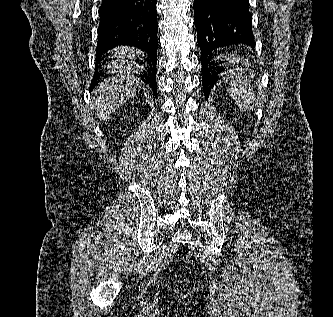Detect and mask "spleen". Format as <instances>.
<instances>
[{"instance_id":"obj_1","label":"spleen","mask_w":333,"mask_h":317,"mask_svg":"<svg viewBox=\"0 0 333 317\" xmlns=\"http://www.w3.org/2000/svg\"><path fill=\"white\" fill-rule=\"evenodd\" d=\"M228 59L237 61L233 56H230ZM248 73L249 70L242 67L224 73L226 79L230 81L228 85L230 96L241 111H246L255 99L253 88L247 81Z\"/></svg>"}]
</instances>
